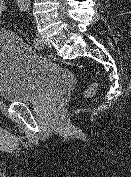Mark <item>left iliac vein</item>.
I'll use <instances>...</instances> for the list:
<instances>
[{"instance_id":"left-iliac-vein-1","label":"left iliac vein","mask_w":131,"mask_h":177,"mask_svg":"<svg viewBox=\"0 0 131 177\" xmlns=\"http://www.w3.org/2000/svg\"><path fill=\"white\" fill-rule=\"evenodd\" d=\"M37 39L39 41V46L37 48L43 49L45 46H51L50 43L46 42L45 39L41 35H37Z\"/></svg>"}]
</instances>
